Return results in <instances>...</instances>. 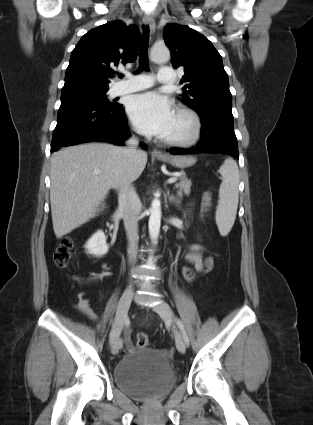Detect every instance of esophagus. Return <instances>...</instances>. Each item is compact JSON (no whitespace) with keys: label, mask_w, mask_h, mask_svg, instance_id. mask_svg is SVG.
I'll use <instances>...</instances> for the list:
<instances>
[{"label":"esophagus","mask_w":313,"mask_h":425,"mask_svg":"<svg viewBox=\"0 0 313 425\" xmlns=\"http://www.w3.org/2000/svg\"><path fill=\"white\" fill-rule=\"evenodd\" d=\"M143 23L145 25L149 26L152 34L155 32V19H154V16L152 14H145L144 17H143ZM152 155L155 156V157H164L165 156V154L158 149H153Z\"/></svg>","instance_id":"34e87169"}]
</instances>
